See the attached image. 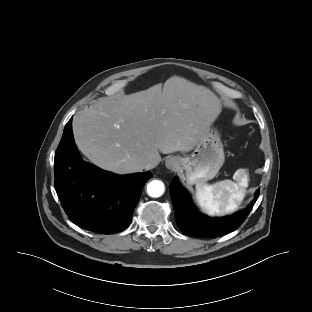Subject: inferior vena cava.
Instances as JSON below:
<instances>
[{"label":"inferior vena cava","mask_w":312,"mask_h":312,"mask_svg":"<svg viewBox=\"0 0 312 312\" xmlns=\"http://www.w3.org/2000/svg\"><path fill=\"white\" fill-rule=\"evenodd\" d=\"M157 165H158V162H156L155 160H147V161H145L143 167L146 170H150V169L155 168Z\"/></svg>","instance_id":"inferior-vena-cava-1"}]
</instances>
